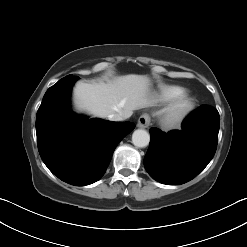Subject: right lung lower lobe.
<instances>
[{"instance_id": "1", "label": "right lung lower lobe", "mask_w": 247, "mask_h": 247, "mask_svg": "<svg viewBox=\"0 0 247 247\" xmlns=\"http://www.w3.org/2000/svg\"><path fill=\"white\" fill-rule=\"evenodd\" d=\"M77 79L66 76L47 90L37 112L36 134L48 169L66 183L84 186L104 175L116 146L135 125L74 116L69 98Z\"/></svg>"}]
</instances>
